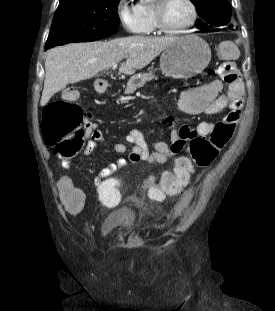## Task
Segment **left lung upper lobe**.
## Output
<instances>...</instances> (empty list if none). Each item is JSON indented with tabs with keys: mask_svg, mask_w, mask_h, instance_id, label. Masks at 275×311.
Masks as SVG:
<instances>
[{
	"mask_svg": "<svg viewBox=\"0 0 275 311\" xmlns=\"http://www.w3.org/2000/svg\"><path fill=\"white\" fill-rule=\"evenodd\" d=\"M196 6L198 15L202 18L196 26L206 29L208 25L222 26L231 20V8L228 0H191ZM232 29L233 25L229 24Z\"/></svg>",
	"mask_w": 275,
	"mask_h": 311,
	"instance_id": "left-lung-upper-lobe-1",
	"label": "left lung upper lobe"
}]
</instances>
